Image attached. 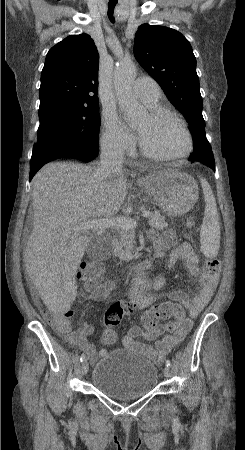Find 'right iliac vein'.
<instances>
[{"mask_svg": "<svg viewBox=\"0 0 245 450\" xmlns=\"http://www.w3.org/2000/svg\"><path fill=\"white\" fill-rule=\"evenodd\" d=\"M89 370V365L87 361H83V363L81 364V373L82 375H86L88 373Z\"/></svg>", "mask_w": 245, "mask_h": 450, "instance_id": "right-iliac-vein-1", "label": "right iliac vein"}]
</instances>
